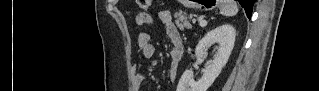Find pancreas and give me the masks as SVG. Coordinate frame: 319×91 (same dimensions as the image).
Here are the masks:
<instances>
[{"label":"pancreas","instance_id":"cf45deb5","mask_svg":"<svg viewBox=\"0 0 319 91\" xmlns=\"http://www.w3.org/2000/svg\"><path fill=\"white\" fill-rule=\"evenodd\" d=\"M174 17H175V24L181 31H183L185 28H188V29L191 28V24L188 21V16L186 13L179 12V13H176Z\"/></svg>","mask_w":319,"mask_h":91}]
</instances>
